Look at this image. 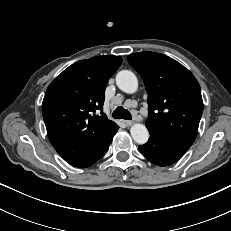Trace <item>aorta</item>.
<instances>
[{
  "label": "aorta",
  "mask_w": 231,
  "mask_h": 231,
  "mask_svg": "<svg viewBox=\"0 0 231 231\" xmlns=\"http://www.w3.org/2000/svg\"><path fill=\"white\" fill-rule=\"evenodd\" d=\"M116 85L125 93L132 94L137 91L138 80L129 70H122L116 75ZM131 136L138 144H145L149 139V132L144 124L135 123L130 129Z\"/></svg>",
  "instance_id": "762f6f07"
}]
</instances>
